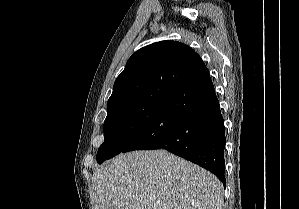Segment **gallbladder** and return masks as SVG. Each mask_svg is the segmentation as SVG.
I'll return each mask as SVG.
<instances>
[{
    "mask_svg": "<svg viewBox=\"0 0 299 209\" xmlns=\"http://www.w3.org/2000/svg\"><path fill=\"white\" fill-rule=\"evenodd\" d=\"M108 209H116L115 207H109Z\"/></svg>",
    "mask_w": 299,
    "mask_h": 209,
    "instance_id": "obj_1",
    "label": "gallbladder"
}]
</instances>
